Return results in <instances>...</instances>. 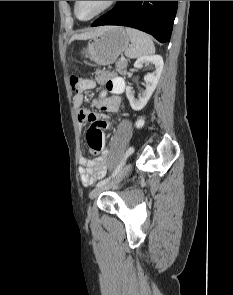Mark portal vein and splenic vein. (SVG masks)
Instances as JSON below:
<instances>
[{"label":"portal vein and splenic vein","instance_id":"18ae733b","mask_svg":"<svg viewBox=\"0 0 233 295\" xmlns=\"http://www.w3.org/2000/svg\"><path fill=\"white\" fill-rule=\"evenodd\" d=\"M121 60H125V58L124 57H121Z\"/></svg>","mask_w":233,"mask_h":295}]
</instances>
